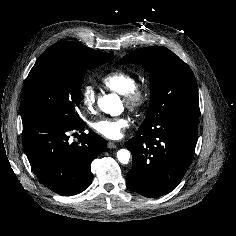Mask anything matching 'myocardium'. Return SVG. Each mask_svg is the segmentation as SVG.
Here are the masks:
<instances>
[{
	"instance_id": "myocardium-1",
	"label": "myocardium",
	"mask_w": 236,
	"mask_h": 236,
	"mask_svg": "<svg viewBox=\"0 0 236 236\" xmlns=\"http://www.w3.org/2000/svg\"><path fill=\"white\" fill-rule=\"evenodd\" d=\"M150 99V91L147 86L136 84L130 91L123 95L125 105L134 112L144 109Z\"/></svg>"
}]
</instances>
